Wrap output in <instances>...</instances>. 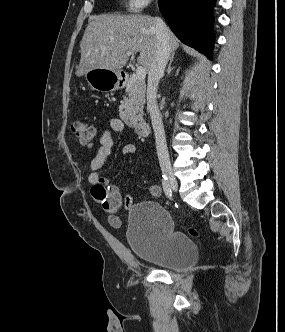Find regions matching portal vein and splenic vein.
I'll return each instance as SVG.
<instances>
[{"mask_svg": "<svg viewBox=\"0 0 285 332\" xmlns=\"http://www.w3.org/2000/svg\"><path fill=\"white\" fill-rule=\"evenodd\" d=\"M127 55H131L132 52L128 51L126 52ZM136 77L140 80V81H144L145 77H146V70L144 67L142 66H138L136 69Z\"/></svg>", "mask_w": 285, "mask_h": 332, "instance_id": "obj_1", "label": "portal vein and splenic vein"}]
</instances>
